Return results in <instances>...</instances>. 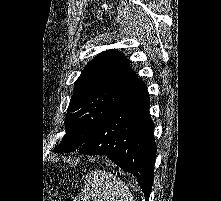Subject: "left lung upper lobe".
Here are the masks:
<instances>
[{"label": "left lung upper lobe", "instance_id": "1", "mask_svg": "<svg viewBox=\"0 0 221 201\" xmlns=\"http://www.w3.org/2000/svg\"><path fill=\"white\" fill-rule=\"evenodd\" d=\"M143 85L123 54L117 50L99 54L75 82L65 118L66 134L55 151L79 149L107 113Z\"/></svg>", "mask_w": 221, "mask_h": 201}]
</instances>
